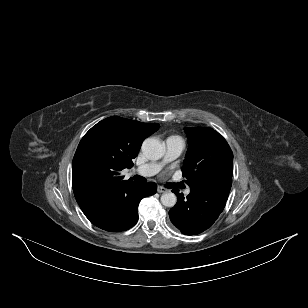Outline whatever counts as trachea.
Masks as SVG:
<instances>
[{
    "label": "trachea",
    "mask_w": 308,
    "mask_h": 308,
    "mask_svg": "<svg viewBox=\"0 0 308 308\" xmlns=\"http://www.w3.org/2000/svg\"><path fill=\"white\" fill-rule=\"evenodd\" d=\"M133 180L137 183H145L146 182V179L142 176H139V175H135L133 177Z\"/></svg>",
    "instance_id": "3493384b"
}]
</instances>
